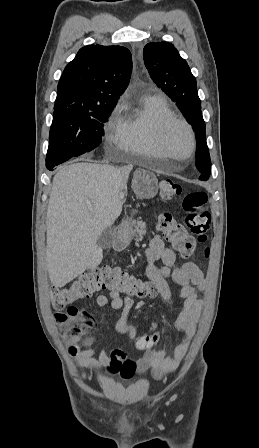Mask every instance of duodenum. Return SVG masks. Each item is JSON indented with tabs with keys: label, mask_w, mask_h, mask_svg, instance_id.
<instances>
[{
	"label": "duodenum",
	"mask_w": 259,
	"mask_h": 448,
	"mask_svg": "<svg viewBox=\"0 0 259 448\" xmlns=\"http://www.w3.org/2000/svg\"><path fill=\"white\" fill-rule=\"evenodd\" d=\"M125 245V230L118 228L115 232L113 247L115 250H120Z\"/></svg>",
	"instance_id": "1"
}]
</instances>
